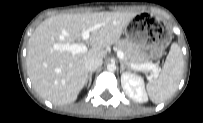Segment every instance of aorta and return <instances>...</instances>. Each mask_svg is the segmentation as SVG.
I'll return each mask as SVG.
<instances>
[{
  "mask_svg": "<svg viewBox=\"0 0 203 123\" xmlns=\"http://www.w3.org/2000/svg\"><path fill=\"white\" fill-rule=\"evenodd\" d=\"M107 69H108L109 71H115V70H116V66H115L114 63H111V64H108V65H107Z\"/></svg>",
  "mask_w": 203,
  "mask_h": 123,
  "instance_id": "aorta-1",
  "label": "aorta"
}]
</instances>
